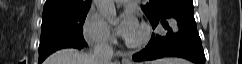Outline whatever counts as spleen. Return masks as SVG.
Wrapping results in <instances>:
<instances>
[{
  "label": "spleen",
  "mask_w": 242,
  "mask_h": 64,
  "mask_svg": "<svg viewBox=\"0 0 242 64\" xmlns=\"http://www.w3.org/2000/svg\"><path fill=\"white\" fill-rule=\"evenodd\" d=\"M153 64H189V62L180 58H165L156 60Z\"/></svg>",
  "instance_id": "obj_1"
}]
</instances>
